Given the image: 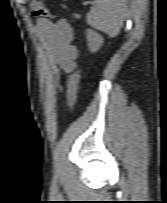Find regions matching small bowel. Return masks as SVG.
I'll list each match as a JSON object with an SVG mask.
<instances>
[{
    "mask_svg": "<svg viewBox=\"0 0 167 203\" xmlns=\"http://www.w3.org/2000/svg\"><path fill=\"white\" fill-rule=\"evenodd\" d=\"M36 30L46 48L47 56L60 74H70L75 69L77 49L72 45V30L65 20L53 23L41 18L36 22Z\"/></svg>",
    "mask_w": 167,
    "mask_h": 203,
    "instance_id": "small-bowel-1",
    "label": "small bowel"
}]
</instances>
